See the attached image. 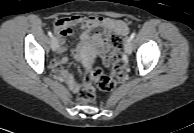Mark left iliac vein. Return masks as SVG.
Returning a JSON list of instances; mask_svg holds the SVG:
<instances>
[{
  "mask_svg": "<svg viewBox=\"0 0 194 133\" xmlns=\"http://www.w3.org/2000/svg\"><path fill=\"white\" fill-rule=\"evenodd\" d=\"M124 49H125V52L129 55L131 54L132 52V43L131 41L129 40V38L126 40L125 44H124Z\"/></svg>",
  "mask_w": 194,
  "mask_h": 133,
  "instance_id": "1",
  "label": "left iliac vein"
}]
</instances>
